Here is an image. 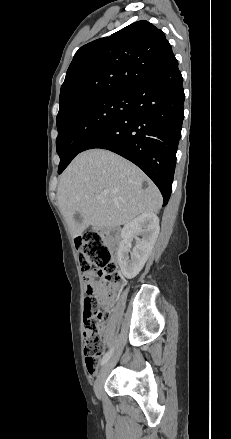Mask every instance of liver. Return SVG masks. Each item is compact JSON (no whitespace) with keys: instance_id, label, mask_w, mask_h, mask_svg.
<instances>
[{"instance_id":"obj_1","label":"liver","mask_w":231,"mask_h":439,"mask_svg":"<svg viewBox=\"0 0 231 439\" xmlns=\"http://www.w3.org/2000/svg\"><path fill=\"white\" fill-rule=\"evenodd\" d=\"M57 198L73 237L89 226L114 228L141 214H156L163 201L158 188L136 165L104 149H90L73 159L61 176Z\"/></svg>"}]
</instances>
